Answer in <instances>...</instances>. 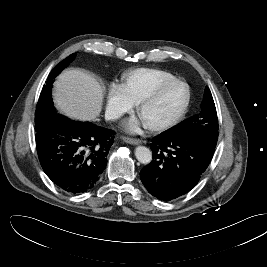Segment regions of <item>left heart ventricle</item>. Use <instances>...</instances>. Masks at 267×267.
<instances>
[{"instance_id":"b2bd125f","label":"left heart ventricle","mask_w":267,"mask_h":267,"mask_svg":"<svg viewBox=\"0 0 267 267\" xmlns=\"http://www.w3.org/2000/svg\"><path fill=\"white\" fill-rule=\"evenodd\" d=\"M186 95L183 85L168 88L158 99L142 109L141 119L145 124L151 125L172 118L182 108Z\"/></svg>"}]
</instances>
